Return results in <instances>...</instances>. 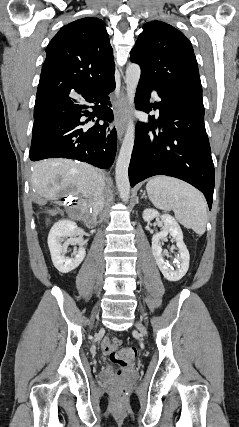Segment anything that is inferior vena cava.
<instances>
[{
	"label": "inferior vena cava",
	"instance_id": "obj_1",
	"mask_svg": "<svg viewBox=\"0 0 239 427\" xmlns=\"http://www.w3.org/2000/svg\"><path fill=\"white\" fill-rule=\"evenodd\" d=\"M104 186H105L104 177L101 175L99 178L97 193L94 198V205L97 213H99L104 207V196H103Z\"/></svg>",
	"mask_w": 239,
	"mask_h": 427
}]
</instances>
